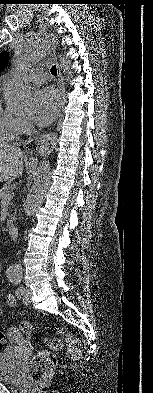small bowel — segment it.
I'll return each mask as SVG.
<instances>
[{
	"label": "small bowel",
	"mask_w": 153,
	"mask_h": 393,
	"mask_svg": "<svg viewBox=\"0 0 153 393\" xmlns=\"http://www.w3.org/2000/svg\"><path fill=\"white\" fill-rule=\"evenodd\" d=\"M5 303L8 307H14L16 305V299L13 295L8 294L5 296ZM2 313H3V308L0 307V316L2 315ZM11 330L16 331L15 329H11Z\"/></svg>",
	"instance_id": "c3829d8e"
}]
</instances>
